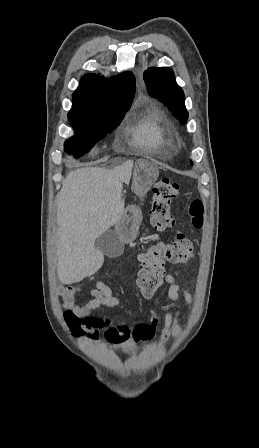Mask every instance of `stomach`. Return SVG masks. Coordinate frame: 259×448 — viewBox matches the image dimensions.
<instances>
[{
	"instance_id": "0dacf381",
	"label": "stomach",
	"mask_w": 259,
	"mask_h": 448,
	"mask_svg": "<svg viewBox=\"0 0 259 448\" xmlns=\"http://www.w3.org/2000/svg\"><path fill=\"white\" fill-rule=\"evenodd\" d=\"M142 168H145V176L147 182H152V176L156 172L155 166L147 160H140L139 162ZM138 196H142L140 192H136ZM143 209L141 206H125L124 212H122V218H120L118 224L115 226L116 234L119 236L122 242H133L138 234V227L140 221L143 219Z\"/></svg>"
}]
</instances>
